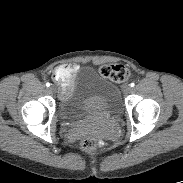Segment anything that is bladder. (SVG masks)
Listing matches in <instances>:
<instances>
[{"instance_id":"1","label":"bladder","mask_w":183,"mask_h":183,"mask_svg":"<svg viewBox=\"0 0 183 183\" xmlns=\"http://www.w3.org/2000/svg\"><path fill=\"white\" fill-rule=\"evenodd\" d=\"M61 108L77 120L114 118L121 111L119 91L110 81L99 78L94 83L63 96Z\"/></svg>"}]
</instances>
